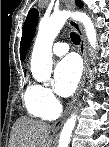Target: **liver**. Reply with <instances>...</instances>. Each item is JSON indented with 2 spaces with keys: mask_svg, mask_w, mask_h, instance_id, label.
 Wrapping results in <instances>:
<instances>
[{
  "mask_svg": "<svg viewBox=\"0 0 109 147\" xmlns=\"http://www.w3.org/2000/svg\"><path fill=\"white\" fill-rule=\"evenodd\" d=\"M50 131L45 122L21 117L12 127L8 147H51Z\"/></svg>",
  "mask_w": 109,
  "mask_h": 147,
  "instance_id": "6515ba94",
  "label": "liver"
}]
</instances>
